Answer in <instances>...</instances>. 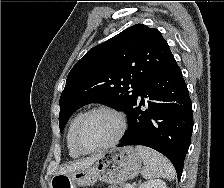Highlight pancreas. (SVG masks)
Returning <instances> with one entry per match:
<instances>
[{
    "label": "pancreas",
    "instance_id": "pancreas-1",
    "mask_svg": "<svg viewBox=\"0 0 224 188\" xmlns=\"http://www.w3.org/2000/svg\"><path fill=\"white\" fill-rule=\"evenodd\" d=\"M127 184L126 183H120L119 188H126ZM109 188H118L116 185H111Z\"/></svg>",
    "mask_w": 224,
    "mask_h": 188
}]
</instances>
